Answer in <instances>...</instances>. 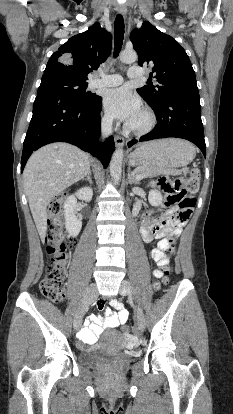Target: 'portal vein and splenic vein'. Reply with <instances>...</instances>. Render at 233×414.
Segmentation results:
<instances>
[{
	"label": "portal vein and splenic vein",
	"mask_w": 233,
	"mask_h": 414,
	"mask_svg": "<svg viewBox=\"0 0 233 414\" xmlns=\"http://www.w3.org/2000/svg\"><path fill=\"white\" fill-rule=\"evenodd\" d=\"M143 177L142 176H137L136 179L137 181H140Z\"/></svg>",
	"instance_id": "portal-vein-and-splenic-vein-1"
}]
</instances>
